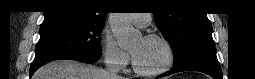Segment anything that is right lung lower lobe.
Returning <instances> with one entry per match:
<instances>
[{
	"instance_id": "1",
	"label": "right lung lower lobe",
	"mask_w": 255,
	"mask_h": 79,
	"mask_svg": "<svg viewBox=\"0 0 255 79\" xmlns=\"http://www.w3.org/2000/svg\"><path fill=\"white\" fill-rule=\"evenodd\" d=\"M99 58L100 56L97 57V56H90V55L69 53V52H48V53L35 56V59L31 64L29 74L31 77L38 68L54 60L69 59V60H76L83 63L92 64L96 62Z\"/></svg>"
}]
</instances>
